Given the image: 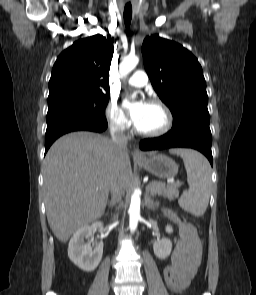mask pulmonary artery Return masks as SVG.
Segmentation results:
<instances>
[{"instance_id":"pulmonary-artery-1","label":"pulmonary artery","mask_w":256,"mask_h":295,"mask_svg":"<svg viewBox=\"0 0 256 295\" xmlns=\"http://www.w3.org/2000/svg\"><path fill=\"white\" fill-rule=\"evenodd\" d=\"M147 83L148 76L143 70H136L128 80V84L133 87H143Z\"/></svg>"}]
</instances>
